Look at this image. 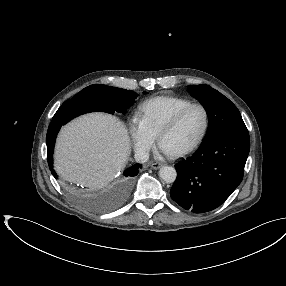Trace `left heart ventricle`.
<instances>
[{
	"mask_svg": "<svg viewBox=\"0 0 286 286\" xmlns=\"http://www.w3.org/2000/svg\"><path fill=\"white\" fill-rule=\"evenodd\" d=\"M204 120V113L200 108L190 109L178 124L163 136L161 147L175 153L191 146L201 134Z\"/></svg>",
	"mask_w": 286,
	"mask_h": 286,
	"instance_id": "1",
	"label": "left heart ventricle"
}]
</instances>
